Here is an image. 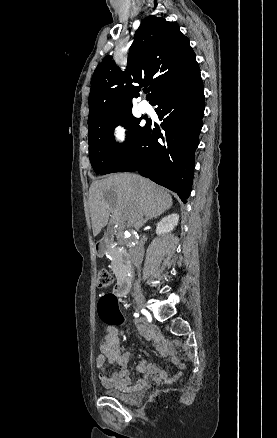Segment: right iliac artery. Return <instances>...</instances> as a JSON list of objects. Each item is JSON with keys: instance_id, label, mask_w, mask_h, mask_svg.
<instances>
[{"instance_id": "right-iliac-artery-1", "label": "right iliac artery", "mask_w": 277, "mask_h": 438, "mask_svg": "<svg viewBox=\"0 0 277 438\" xmlns=\"http://www.w3.org/2000/svg\"><path fill=\"white\" fill-rule=\"evenodd\" d=\"M134 316H135V317H138V316H139V314H138V313H134Z\"/></svg>"}]
</instances>
